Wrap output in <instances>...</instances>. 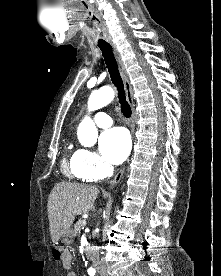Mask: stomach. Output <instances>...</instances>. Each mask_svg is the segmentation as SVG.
Returning <instances> with one entry per match:
<instances>
[{"instance_id":"obj_1","label":"stomach","mask_w":221,"mask_h":276,"mask_svg":"<svg viewBox=\"0 0 221 276\" xmlns=\"http://www.w3.org/2000/svg\"><path fill=\"white\" fill-rule=\"evenodd\" d=\"M62 243H64L65 245H70L71 243H73L74 241V231L72 229L68 230L66 233H64L62 236Z\"/></svg>"}]
</instances>
